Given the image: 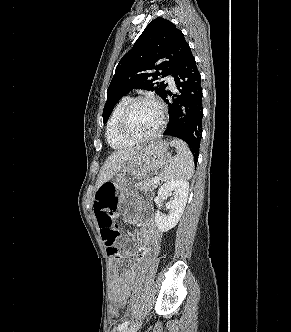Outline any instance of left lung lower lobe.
<instances>
[{"label": "left lung lower lobe", "mask_w": 291, "mask_h": 332, "mask_svg": "<svg viewBox=\"0 0 291 332\" xmlns=\"http://www.w3.org/2000/svg\"><path fill=\"white\" fill-rule=\"evenodd\" d=\"M173 77L178 92L172 94L167 90L161 97L169 106V123L163 135L185 141L197 161L199 150L193 152L192 147L197 143L200 146L202 137V87L201 76L189 45L186 46ZM169 95L172 100L168 99Z\"/></svg>", "instance_id": "0a47b994"}]
</instances>
